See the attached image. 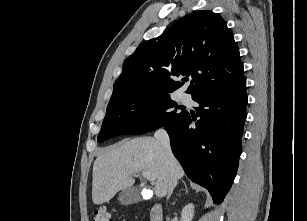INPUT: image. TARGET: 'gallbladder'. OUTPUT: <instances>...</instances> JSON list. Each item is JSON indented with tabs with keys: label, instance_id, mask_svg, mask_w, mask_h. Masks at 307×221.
I'll return each mask as SVG.
<instances>
[{
	"label": "gallbladder",
	"instance_id": "1",
	"mask_svg": "<svg viewBox=\"0 0 307 221\" xmlns=\"http://www.w3.org/2000/svg\"><path fill=\"white\" fill-rule=\"evenodd\" d=\"M118 200L121 204L128 205L137 203L141 200L140 189L137 187H130L124 189L118 197Z\"/></svg>",
	"mask_w": 307,
	"mask_h": 221
}]
</instances>
